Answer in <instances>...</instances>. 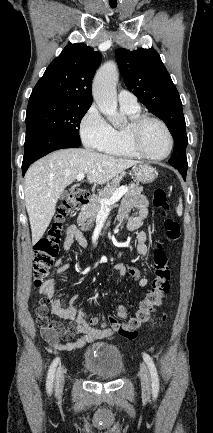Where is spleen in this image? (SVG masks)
<instances>
[{"label": "spleen", "mask_w": 213, "mask_h": 433, "mask_svg": "<svg viewBox=\"0 0 213 433\" xmlns=\"http://www.w3.org/2000/svg\"><path fill=\"white\" fill-rule=\"evenodd\" d=\"M177 214L179 215V216H181L182 215V211H183V205H182V199L180 198L179 199V205H178V207H177Z\"/></svg>", "instance_id": "spleen-1"}]
</instances>
